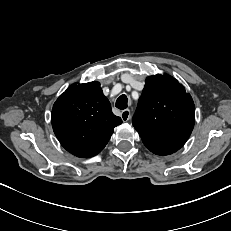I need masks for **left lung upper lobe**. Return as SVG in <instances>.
I'll return each mask as SVG.
<instances>
[{
    "instance_id": "5c2ea615",
    "label": "left lung upper lobe",
    "mask_w": 231,
    "mask_h": 231,
    "mask_svg": "<svg viewBox=\"0 0 231 231\" xmlns=\"http://www.w3.org/2000/svg\"><path fill=\"white\" fill-rule=\"evenodd\" d=\"M194 122L192 97L176 79L167 74L147 77L133 117L144 145L174 153L189 138Z\"/></svg>"
}]
</instances>
